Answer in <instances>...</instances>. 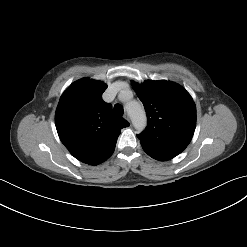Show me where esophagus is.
<instances>
[{"instance_id":"1","label":"esophagus","mask_w":247,"mask_h":247,"mask_svg":"<svg viewBox=\"0 0 247 247\" xmlns=\"http://www.w3.org/2000/svg\"><path fill=\"white\" fill-rule=\"evenodd\" d=\"M128 122H130V117H129V115L128 114H124V116H123Z\"/></svg>"}]
</instances>
